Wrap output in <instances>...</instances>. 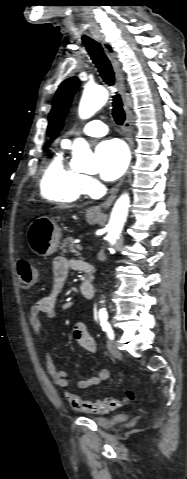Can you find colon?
<instances>
[{
  "label": "colon",
  "instance_id": "1",
  "mask_svg": "<svg viewBox=\"0 0 187 479\" xmlns=\"http://www.w3.org/2000/svg\"><path fill=\"white\" fill-rule=\"evenodd\" d=\"M17 272L22 289H31L39 280L38 271L26 259H20L17 262ZM65 396L74 410L100 414L108 413L133 399V394L130 392L124 398L112 397L107 400H85L69 392H66Z\"/></svg>",
  "mask_w": 187,
  "mask_h": 479
}]
</instances>
